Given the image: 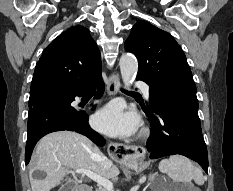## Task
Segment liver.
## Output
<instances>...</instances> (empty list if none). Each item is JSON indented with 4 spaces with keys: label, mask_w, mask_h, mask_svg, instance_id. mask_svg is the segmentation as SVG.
I'll use <instances>...</instances> for the list:
<instances>
[{
    "label": "liver",
    "mask_w": 233,
    "mask_h": 191,
    "mask_svg": "<svg viewBox=\"0 0 233 191\" xmlns=\"http://www.w3.org/2000/svg\"><path fill=\"white\" fill-rule=\"evenodd\" d=\"M103 157L99 148L85 136L71 131H57L44 136L37 144L29 177L32 191H50L62 182L73 181L68 177L72 170H90L110 179L119 174L117 166L105 169L100 164ZM46 172L44 179H34L32 172Z\"/></svg>",
    "instance_id": "obj_1"
}]
</instances>
